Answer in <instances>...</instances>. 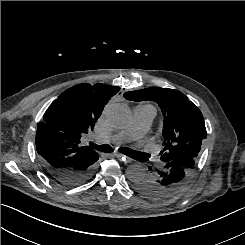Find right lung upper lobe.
Instances as JSON below:
<instances>
[{
    "mask_svg": "<svg viewBox=\"0 0 245 245\" xmlns=\"http://www.w3.org/2000/svg\"><path fill=\"white\" fill-rule=\"evenodd\" d=\"M119 90L105 84H78L64 91L37 124L35 141L41 161L56 169H70L99 159L94 150L81 145V137L93 130Z\"/></svg>",
    "mask_w": 245,
    "mask_h": 245,
    "instance_id": "right-lung-upper-lobe-1",
    "label": "right lung upper lobe"
}]
</instances>
